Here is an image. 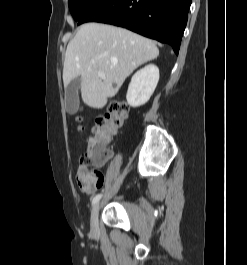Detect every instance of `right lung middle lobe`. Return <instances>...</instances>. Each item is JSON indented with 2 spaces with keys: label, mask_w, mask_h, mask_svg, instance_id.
Returning <instances> with one entry per match:
<instances>
[{
  "label": "right lung middle lobe",
  "mask_w": 247,
  "mask_h": 265,
  "mask_svg": "<svg viewBox=\"0 0 247 265\" xmlns=\"http://www.w3.org/2000/svg\"><path fill=\"white\" fill-rule=\"evenodd\" d=\"M97 1L98 0H69L68 4L73 18L79 21Z\"/></svg>",
  "instance_id": "dd1d6c3e"
}]
</instances>
